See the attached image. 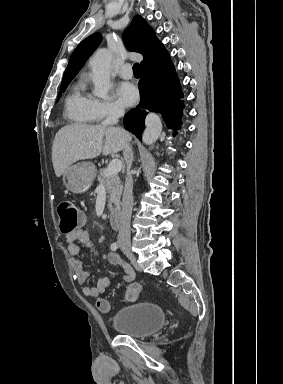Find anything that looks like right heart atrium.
<instances>
[{
	"label": "right heart atrium",
	"mask_w": 283,
	"mask_h": 384,
	"mask_svg": "<svg viewBox=\"0 0 283 384\" xmlns=\"http://www.w3.org/2000/svg\"><path fill=\"white\" fill-rule=\"evenodd\" d=\"M122 111L121 104L116 100L95 99L94 101L96 122H105L109 119L116 118Z\"/></svg>",
	"instance_id": "d8ad5b80"
}]
</instances>
